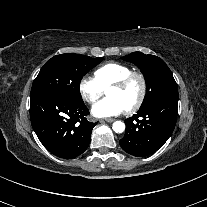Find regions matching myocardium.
I'll use <instances>...</instances> for the list:
<instances>
[{
  "instance_id": "myocardium-1",
  "label": "myocardium",
  "mask_w": 207,
  "mask_h": 207,
  "mask_svg": "<svg viewBox=\"0 0 207 207\" xmlns=\"http://www.w3.org/2000/svg\"><path fill=\"white\" fill-rule=\"evenodd\" d=\"M134 80H138L140 83V94L137 100L125 110L127 114H132L136 112L141 107L146 98L148 87L145 76L141 72L133 71L127 74L122 79L110 85V88L125 89Z\"/></svg>"
}]
</instances>
